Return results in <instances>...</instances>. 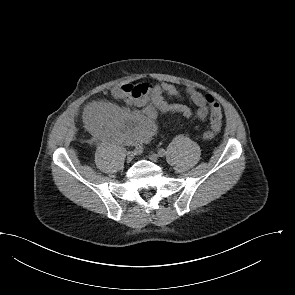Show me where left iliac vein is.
<instances>
[{"instance_id":"1","label":"left iliac vein","mask_w":295,"mask_h":295,"mask_svg":"<svg viewBox=\"0 0 295 295\" xmlns=\"http://www.w3.org/2000/svg\"><path fill=\"white\" fill-rule=\"evenodd\" d=\"M149 159L152 161V162H157L159 160V155L156 154V153H151L149 155Z\"/></svg>"}]
</instances>
